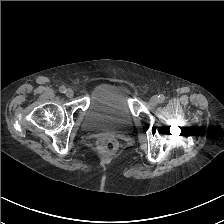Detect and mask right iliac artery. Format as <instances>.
<instances>
[{
	"mask_svg": "<svg viewBox=\"0 0 224 224\" xmlns=\"http://www.w3.org/2000/svg\"><path fill=\"white\" fill-rule=\"evenodd\" d=\"M59 91H60L61 93H65V92H66V87H65V86H61V87L59 88Z\"/></svg>",
	"mask_w": 224,
	"mask_h": 224,
	"instance_id": "right-iliac-artery-1",
	"label": "right iliac artery"
}]
</instances>
